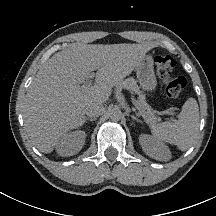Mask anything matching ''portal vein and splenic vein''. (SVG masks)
Segmentation results:
<instances>
[{
	"instance_id": "obj_1",
	"label": "portal vein and splenic vein",
	"mask_w": 216,
	"mask_h": 216,
	"mask_svg": "<svg viewBox=\"0 0 216 216\" xmlns=\"http://www.w3.org/2000/svg\"><path fill=\"white\" fill-rule=\"evenodd\" d=\"M92 81L89 79L88 81H86L81 88H86L89 87L91 85ZM137 106V105H136ZM138 108V107H137ZM139 115H141V113L139 112Z\"/></svg>"
}]
</instances>
